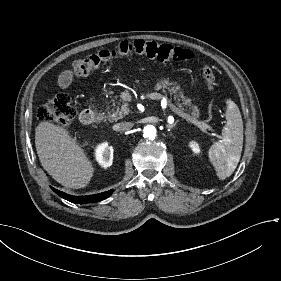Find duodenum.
<instances>
[{
  "label": "duodenum",
  "mask_w": 281,
  "mask_h": 281,
  "mask_svg": "<svg viewBox=\"0 0 281 281\" xmlns=\"http://www.w3.org/2000/svg\"><path fill=\"white\" fill-rule=\"evenodd\" d=\"M102 113L99 109H84L80 114V119L84 124H91L101 119Z\"/></svg>",
  "instance_id": "duodenum-1"
}]
</instances>
